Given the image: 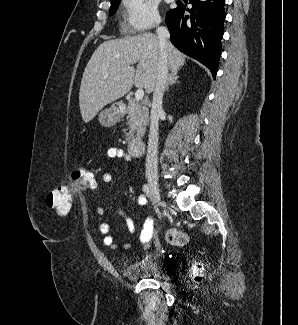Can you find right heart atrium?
Segmentation results:
<instances>
[{"instance_id": "1", "label": "right heart atrium", "mask_w": 298, "mask_h": 325, "mask_svg": "<svg viewBox=\"0 0 298 325\" xmlns=\"http://www.w3.org/2000/svg\"><path fill=\"white\" fill-rule=\"evenodd\" d=\"M127 32L136 37V30H149L158 23L155 0H127L124 4Z\"/></svg>"}]
</instances>
